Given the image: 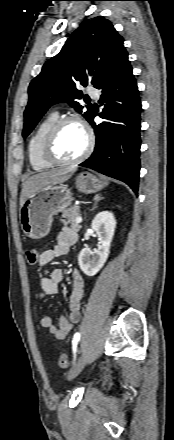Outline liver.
Listing matches in <instances>:
<instances>
[{"mask_svg":"<svg viewBox=\"0 0 174 440\" xmlns=\"http://www.w3.org/2000/svg\"><path fill=\"white\" fill-rule=\"evenodd\" d=\"M69 178L70 175H67V172L61 170H51L31 176L23 183L20 195V208L23 206L25 200L36 191L49 185L63 183Z\"/></svg>","mask_w":174,"mask_h":440,"instance_id":"liver-1","label":"liver"}]
</instances>
